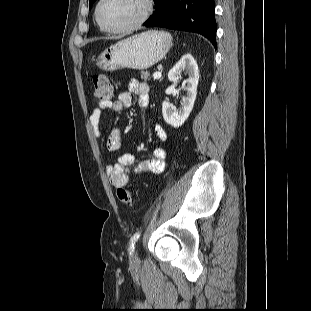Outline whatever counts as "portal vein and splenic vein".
<instances>
[{
    "label": "portal vein and splenic vein",
    "instance_id": "portal-vein-and-splenic-vein-1",
    "mask_svg": "<svg viewBox=\"0 0 311 311\" xmlns=\"http://www.w3.org/2000/svg\"><path fill=\"white\" fill-rule=\"evenodd\" d=\"M153 78H154V79H159V78H161V72H155V73H153Z\"/></svg>",
    "mask_w": 311,
    "mask_h": 311
}]
</instances>
